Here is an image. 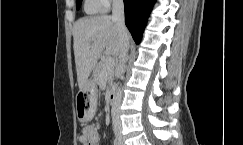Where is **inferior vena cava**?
Listing matches in <instances>:
<instances>
[{
  "label": "inferior vena cava",
  "instance_id": "inferior-vena-cava-1",
  "mask_svg": "<svg viewBox=\"0 0 243 145\" xmlns=\"http://www.w3.org/2000/svg\"><path fill=\"white\" fill-rule=\"evenodd\" d=\"M112 20L116 22L119 35L121 38V50L119 53V74L122 75L125 69V63L127 60V54L129 51V39L126 36L127 29L124 23V4L123 0H113L112 3ZM122 101V90L118 88L113 105H112V114L117 117L120 112V106ZM119 123V121H118Z\"/></svg>",
  "mask_w": 243,
  "mask_h": 145
}]
</instances>
